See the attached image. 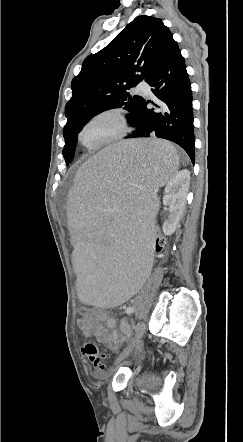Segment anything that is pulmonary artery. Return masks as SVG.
I'll use <instances>...</instances> for the list:
<instances>
[{
  "label": "pulmonary artery",
  "instance_id": "pulmonary-artery-1",
  "mask_svg": "<svg viewBox=\"0 0 243 442\" xmlns=\"http://www.w3.org/2000/svg\"><path fill=\"white\" fill-rule=\"evenodd\" d=\"M136 92L142 93L146 96L151 95L150 86L146 82H140L136 87Z\"/></svg>",
  "mask_w": 243,
  "mask_h": 442
}]
</instances>
